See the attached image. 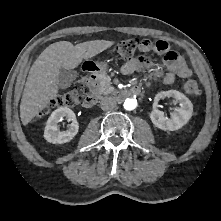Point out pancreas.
<instances>
[{"label":"pancreas","mask_w":221,"mask_h":221,"mask_svg":"<svg viewBox=\"0 0 221 221\" xmlns=\"http://www.w3.org/2000/svg\"><path fill=\"white\" fill-rule=\"evenodd\" d=\"M114 90V87L111 85V79L109 76L102 74L99 78V86L96 89L97 93L105 94L110 93Z\"/></svg>","instance_id":"pancreas-1"}]
</instances>
